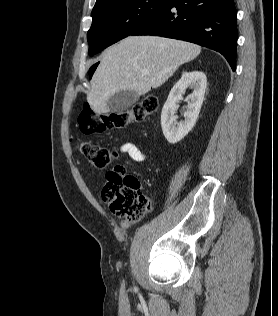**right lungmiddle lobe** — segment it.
Returning <instances> with one entry per match:
<instances>
[{"label":"right lung middle lobe","mask_w":278,"mask_h":316,"mask_svg":"<svg viewBox=\"0 0 278 316\" xmlns=\"http://www.w3.org/2000/svg\"><path fill=\"white\" fill-rule=\"evenodd\" d=\"M165 0H107L94 6L87 34L89 55L132 35L162 6ZM94 67L90 69L92 76Z\"/></svg>","instance_id":"obj_1"}]
</instances>
